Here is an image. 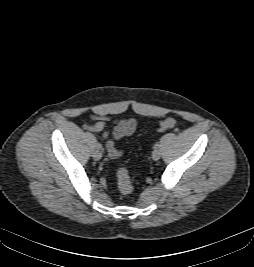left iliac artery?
Returning <instances> with one entry per match:
<instances>
[{
    "mask_svg": "<svg viewBox=\"0 0 254 267\" xmlns=\"http://www.w3.org/2000/svg\"><path fill=\"white\" fill-rule=\"evenodd\" d=\"M158 148H159V144L156 143V144L154 145V149H158Z\"/></svg>",
    "mask_w": 254,
    "mask_h": 267,
    "instance_id": "44dca946",
    "label": "left iliac artery"
}]
</instances>
